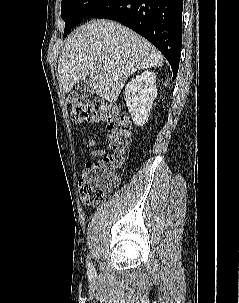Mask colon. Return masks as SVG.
Instances as JSON below:
<instances>
[{
  "label": "colon",
  "instance_id": "1",
  "mask_svg": "<svg viewBox=\"0 0 239 303\" xmlns=\"http://www.w3.org/2000/svg\"><path fill=\"white\" fill-rule=\"evenodd\" d=\"M72 119L88 124H105L109 147L112 153L101 159L88 161L79 180V195L82 203H102L119 184V172L125 163L131 139V124L125 114L98 99H90L78 93L69 98Z\"/></svg>",
  "mask_w": 239,
  "mask_h": 303
}]
</instances>
